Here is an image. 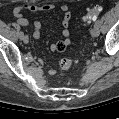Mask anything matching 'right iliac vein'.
<instances>
[{"mask_svg":"<svg viewBox=\"0 0 119 119\" xmlns=\"http://www.w3.org/2000/svg\"><path fill=\"white\" fill-rule=\"evenodd\" d=\"M22 40H23L24 43H28V42H29V38H28L27 35H24V36L22 37Z\"/></svg>","mask_w":119,"mask_h":119,"instance_id":"obj_1","label":"right iliac vein"}]
</instances>
